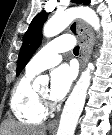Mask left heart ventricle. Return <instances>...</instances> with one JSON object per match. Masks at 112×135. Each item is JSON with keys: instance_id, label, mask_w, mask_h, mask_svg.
Here are the masks:
<instances>
[{"instance_id": "b2bd125f", "label": "left heart ventricle", "mask_w": 112, "mask_h": 135, "mask_svg": "<svg viewBox=\"0 0 112 135\" xmlns=\"http://www.w3.org/2000/svg\"><path fill=\"white\" fill-rule=\"evenodd\" d=\"M48 93H49L48 87H45L39 91V94H41L42 96H46V97L48 96Z\"/></svg>"}]
</instances>
